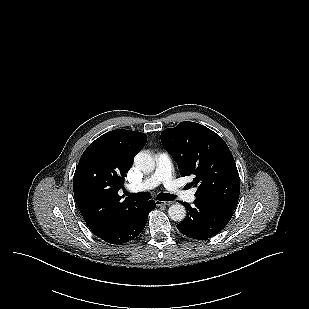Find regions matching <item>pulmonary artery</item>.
Wrapping results in <instances>:
<instances>
[{"mask_svg":"<svg viewBox=\"0 0 309 309\" xmlns=\"http://www.w3.org/2000/svg\"><path fill=\"white\" fill-rule=\"evenodd\" d=\"M159 184L163 186L172 194L187 202L195 200V190L181 189L173 179L172 176V161L169 154L161 152L156 157V169L144 180L131 186L133 191H146L156 187Z\"/></svg>","mask_w":309,"mask_h":309,"instance_id":"pulmonary-artery-1","label":"pulmonary artery"}]
</instances>
